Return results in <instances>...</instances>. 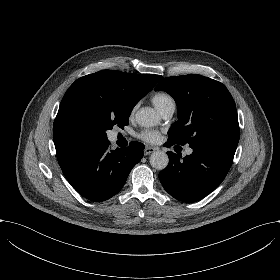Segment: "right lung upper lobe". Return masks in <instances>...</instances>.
Returning a JSON list of instances; mask_svg holds the SVG:
<instances>
[{
    "mask_svg": "<svg viewBox=\"0 0 280 280\" xmlns=\"http://www.w3.org/2000/svg\"><path fill=\"white\" fill-rule=\"evenodd\" d=\"M162 78L103 70L77 79L66 91L54 121L53 139L58 161L78 149L100 142L91 122L97 110L132 111Z\"/></svg>",
    "mask_w": 280,
    "mask_h": 280,
    "instance_id": "1",
    "label": "right lung upper lobe"
}]
</instances>
